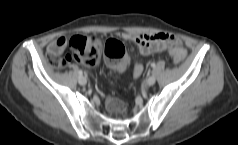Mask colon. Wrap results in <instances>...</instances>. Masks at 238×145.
I'll return each mask as SVG.
<instances>
[{
	"instance_id": "1",
	"label": "colon",
	"mask_w": 238,
	"mask_h": 145,
	"mask_svg": "<svg viewBox=\"0 0 238 145\" xmlns=\"http://www.w3.org/2000/svg\"><path fill=\"white\" fill-rule=\"evenodd\" d=\"M71 54L65 58L50 56L51 62L57 68H63L72 58L88 65H94L99 58L104 55L110 66L118 71H123L128 64V55L125 46L116 39L104 41L99 37L75 36L70 41ZM169 54L174 63H181L186 53L182 48L171 47ZM107 109L113 115H124L126 113L125 104L119 99L109 97L106 101Z\"/></svg>"
}]
</instances>
